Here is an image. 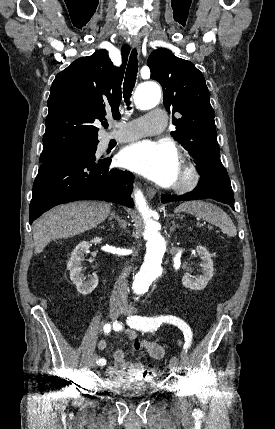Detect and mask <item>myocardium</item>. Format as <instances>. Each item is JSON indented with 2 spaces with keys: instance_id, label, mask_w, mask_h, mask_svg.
Wrapping results in <instances>:
<instances>
[{
  "instance_id": "f54148a6",
  "label": "myocardium",
  "mask_w": 275,
  "mask_h": 429,
  "mask_svg": "<svg viewBox=\"0 0 275 429\" xmlns=\"http://www.w3.org/2000/svg\"><path fill=\"white\" fill-rule=\"evenodd\" d=\"M180 176L173 184L174 191L185 193L193 190L199 183L201 175L197 166L188 158L180 159Z\"/></svg>"
}]
</instances>
